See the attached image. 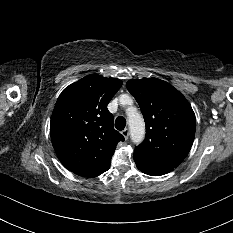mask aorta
I'll return each mask as SVG.
<instances>
[{"label":"aorta","instance_id":"obj_1","mask_svg":"<svg viewBox=\"0 0 233 233\" xmlns=\"http://www.w3.org/2000/svg\"><path fill=\"white\" fill-rule=\"evenodd\" d=\"M128 125L132 141L136 144L141 143L145 136V124L142 116L139 113H128Z\"/></svg>","mask_w":233,"mask_h":233}]
</instances>
